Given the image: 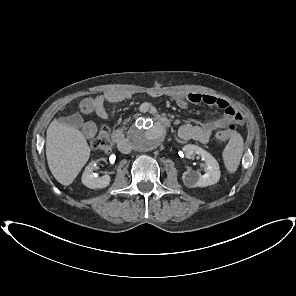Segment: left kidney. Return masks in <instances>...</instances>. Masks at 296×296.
I'll list each match as a JSON object with an SVG mask.
<instances>
[{
    "label": "left kidney",
    "mask_w": 296,
    "mask_h": 296,
    "mask_svg": "<svg viewBox=\"0 0 296 296\" xmlns=\"http://www.w3.org/2000/svg\"><path fill=\"white\" fill-rule=\"evenodd\" d=\"M183 151L188 159L198 155L205 162V174L188 169L182 175V180L185 186L206 187L216 184L220 179V169L217 160L206 150L197 145L188 144L183 147Z\"/></svg>",
    "instance_id": "obj_1"
}]
</instances>
